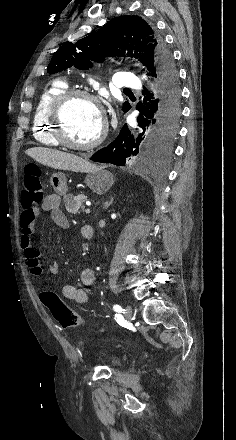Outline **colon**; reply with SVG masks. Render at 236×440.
<instances>
[{
  "label": "colon",
  "mask_w": 236,
  "mask_h": 440,
  "mask_svg": "<svg viewBox=\"0 0 236 440\" xmlns=\"http://www.w3.org/2000/svg\"><path fill=\"white\" fill-rule=\"evenodd\" d=\"M23 190L21 205L27 210L41 203L44 198L43 184L37 166H27L23 174ZM42 296L53 318L65 328L79 327L86 323L85 319L71 311L66 304L51 290H43Z\"/></svg>",
  "instance_id": "1"
}]
</instances>
